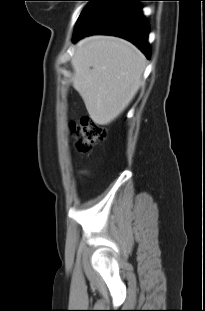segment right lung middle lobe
Segmentation results:
<instances>
[{
  "instance_id": "dd1d6c3e",
  "label": "right lung middle lobe",
  "mask_w": 205,
  "mask_h": 311,
  "mask_svg": "<svg viewBox=\"0 0 205 311\" xmlns=\"http://www.w3.org/2000/svg\"><path fill=\"white\" fill-rule=\"evenodd\" d=\"M89 1H91V0H89ZM86 7H87V6H86ZM86 7H85V8H86ZM85 8H84V10H85ZM84 10H83L82 13L80 14V17H81V15L83 14ZM80 17H79V18H80Z\"/></svg>"
}]
</instances>
